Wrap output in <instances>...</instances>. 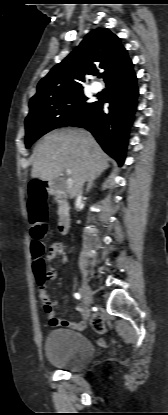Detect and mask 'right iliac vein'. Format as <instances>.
<instances>
[{
    "label": "right iliac vein",
    "instance_id": "63e3f726",
    "mask_svg": "<svg viewBox=\"0 0 168 415\" xmlns=\"http://www.w3.org/2000/svg\"><path fill=\"white\" fill-rule=\"evenodd\" d=\"M82 296L85 304V308H88L92 304V291L86 282L82 283Z\"/></svg>",
    "mask_w": 168,
    "mask_h": 415
}]
</instances>
